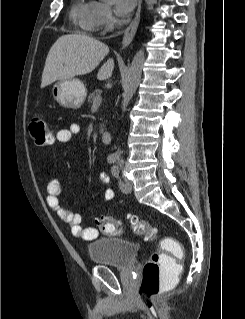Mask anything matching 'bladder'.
I'll return each instance as SVG.
<instances>
[{
  "mask_svg": "<svg viewBox=\"0 0 245 319\" xmlns=\"http://www.w3.org/2000/svg\"><path fill=\"white\" fill-rule=\"evenodd\" d=\"M139 246L136 242L117 237L95 238L88 245V254L95 264L128 268L135 261Z\"/></svg>",
  "mask_w": 245,
  "mask_h": 319,
  "instance_id": "bladder-1",
  "label": "bladder"
}]
</instances>
